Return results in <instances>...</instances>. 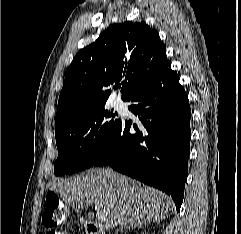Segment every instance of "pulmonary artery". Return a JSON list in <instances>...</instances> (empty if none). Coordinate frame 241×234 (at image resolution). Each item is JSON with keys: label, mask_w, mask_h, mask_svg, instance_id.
<instances>
[{"label": "pulmonary artery", "mask_w": 241, "mask_h": 234, "mask_svg": "<svg viewBox=\"0 0 241 234\" xmlns=\"http://www.w3.org/2000/svg\"><path fill=\"white\" fill-rule=\"evenodd\" d=\"M115 107H116L117 109L123 108V103H122V101L119 100V99H117V100L115 101Z\"/></svg>", "instance_id": "1"}]
</instances>
